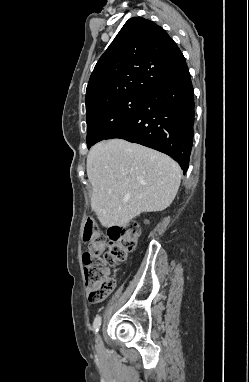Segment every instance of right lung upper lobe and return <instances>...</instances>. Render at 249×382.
I'll list each match as a JSON object with an SVG mask.
<instances>
[{"label":"right lung upper lobe","mask_w":249,"mask_h":382,"mask_svg":"<svg viewBox=\"0 0 249 382\" xmlns=\"http://www.w3.org/2000/svg\"><path fill=\"white\" fill-rule=\"evenodd\" d=\"M186 66L167 32L142 17L129 19L98 60L86 90V108L132 93L148 94Z\"/></svg>","instance_id":"right-lung-upper-lobe-1"}]
</instances>
